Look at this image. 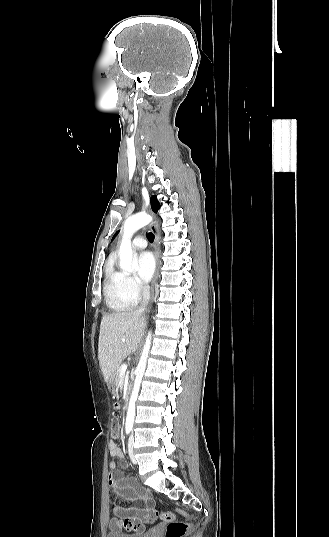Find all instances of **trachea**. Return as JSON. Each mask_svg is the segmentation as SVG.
Listing matches in <instances>:
<instances>
[{"label":"trachea","mask_w":329,"mask_h":537,"mask_svg":"<svg viewBox=\"0 0 329 537\" xmlns=\"http://www.w3.org/2000/svg\"><path fill=\"white\" fill-rule=\"evenodd\" d=\"M147 238H148V240H149L150 242H153V241H154V235H153L151 232L148 233Z\"/></svg>","instance_id":"trachea-1"}]
</instances>
